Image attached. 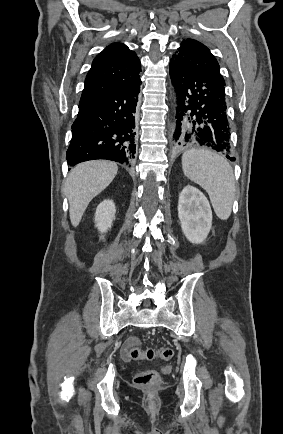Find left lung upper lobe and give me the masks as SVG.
Returning <instances> with one entry per match:
<instances>
[{"label": "left lung upper lobe", "mask_w": 283, "mask_h": 434, "mask_svg": "<svg viewBox=\"0 0 283 434\" xmlns=\"http://www.w3.org/2000/svg\"><path fill=\"white\" fill-rule=\"evenodd\" d=\"M171 59L225 85L216 58L204 44L197 40L190 38L183 40Z\"/></svg>", "instance_id": "obj_1"}]
</instances>
